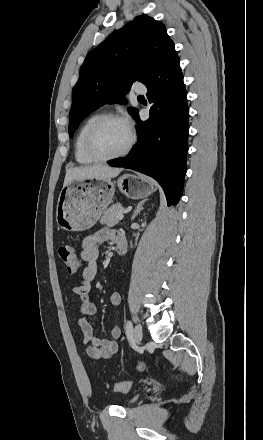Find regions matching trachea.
<instances>
[{
	"mask_svg": "<svg viewBox=\"0 0 263 440\" xmlns=\"http://www.w3.org/2000/svg\"><path fill=\"white\" fill-rule=\"evenodd\" d=\"M138 97H143L142 95H139Z\"/></svg>",
	"mask_w": 263,
	"mask_h": 440,
	"instance_id": "obj_1",
	"label": "trachea"
}]
</instances>
